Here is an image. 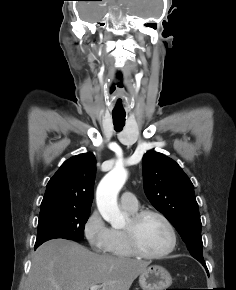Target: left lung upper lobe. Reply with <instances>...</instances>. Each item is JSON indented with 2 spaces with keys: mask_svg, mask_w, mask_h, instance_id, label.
Instances as JSON below:
<instances>
[{
  "mask_svg": "<svg viewBox=\"0 0 236 290\" xmlns=\"http://www.w3.org/2000/svg\"><path fill=\"white\" fill-rule=\"evenodd\" d=\"M144 190L151 204L176 228L190 254L205 262L201 220L193 184L171 158L147 152L142 160ZM205 269H207L205 264Z\"/></svg>",
  "mask_w": 236,
  "mask_h": 290,
  "instance_id": "1",
  "label": "left lung upper lobe"
}]
</instances>
